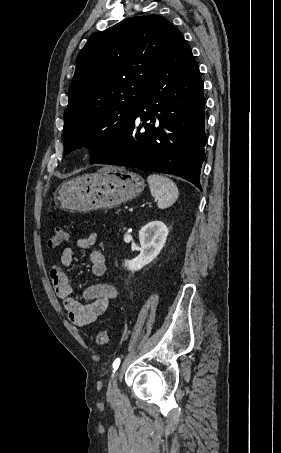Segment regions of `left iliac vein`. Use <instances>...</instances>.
<instances>
[{
    "label": "left iliac vein",
    "instance_id": "left-iliac-vein-1",
    "mask_svg": "<svg viewBox=\"0 0 281 453\" xmlns=\"http://www.w3.org/2000/svg\"><path fill=\"white\" fill-rule=\"evenodd\" d=\"M112 375H113L111 377L112 379L109 381V384H108L107 393H108V395H118L119 388L117 386L118 381L116 380L118 377L116 376L117 374L115 372Z\"/></svg>",
    "mask_w": 281,
    "mask_h": 453
}]
</instances>
